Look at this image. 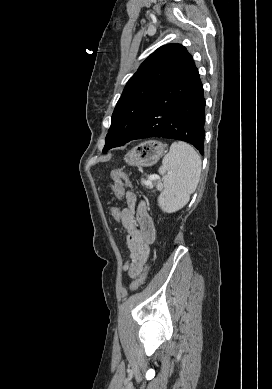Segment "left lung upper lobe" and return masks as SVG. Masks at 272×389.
<instances>
[{
	"label": "left lung upper lobe",
	"mask_w": 272,
	"mask_h": 389,
	"mask_svg": "<svg viewBox=\"0 0 272 389\" xmlns=\"http://www.w3.org/2000/svg\"><path fill=\"white\" fill-rule=\"evenodd\" d=\"M192 60L183 45L167 44L158 48L140 65L116 104L103 153L129 140L146 116L154 98Z\"/></svg>",
	"instance_id": "1"
}]
</instances>
